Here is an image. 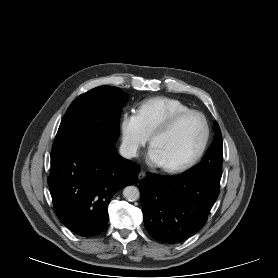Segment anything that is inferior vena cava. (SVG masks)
<instances>
[{
  "instance_id": "1",
  "label": "inferior vena cava",
  "mask_w": 278,
  "mask_h": 278,
  "mask_svg": "<svg viewBox=\"0 0 278 278\" xmlns=\"http://www.w3.org/2000/svg\"><path fill=\"white\" fill-rule=\"evenodd\" d=\"M120 154L122 157L130 159L136 157L137 155V146L133 144L123 143L120 146Z\"/></svg>"
}]
</instances>
